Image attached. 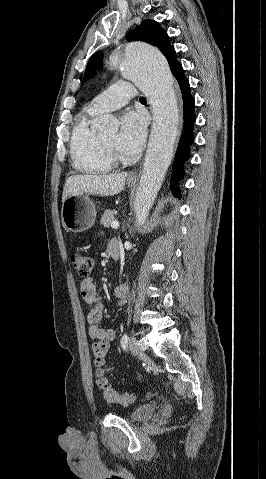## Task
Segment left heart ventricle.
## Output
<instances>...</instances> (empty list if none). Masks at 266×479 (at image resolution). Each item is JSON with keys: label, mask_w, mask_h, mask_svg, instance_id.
<instances>
[{"label": "left heart ventricle", "mask_w": 266, "mask_h": 479, "mask_svg": "<svg viewBox=\"0 0 266 479\" xmlns=\"http://www.w3.org/2000/svg\"><path fill=\"white\" fill-rule=\"evenodd\" d=\"M102 138L107 141L110 145H112L116 150H119L118 147V133L117 131L110 132L102 136Z\"/></svg>", "instance_id": "1"}]
</instances>
